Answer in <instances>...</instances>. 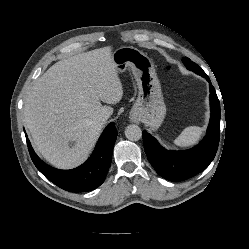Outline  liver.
I'll return each mask as SVG.
<instances>
[{
    "mask_svg": "<svg viewBox=\"0 0 249 249\" xmlns=\"http://www.w3.org/2000/svg\"><path fill=\"white\" fill-rule=\"evenodd\" d=\"M104 47L56 62L39 77L25 97L23 117L36 150L53 166L82 164L101 131V114L109 116L123 86Z\"/></svg>",
    "mask_w": 249,
    "mask_h": 249,
    "instance_id": "6515ba94",
    "label": "liver"
}]
</instances>
